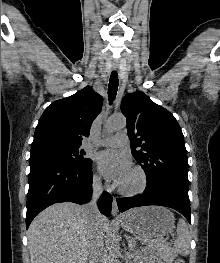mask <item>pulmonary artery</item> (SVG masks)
Returning a JSON list of instances; mask_svg holds the SVG:
<instances>
[{
	"label": "pulmonary artery",
	"instance_id": "pulmonary-artery-1",
	"mask_svg": "<svg viewBox=\"0 0 220 263\" xmlns=\"http://www.w3.org/2000/svg\"><path fill=\"white\" fill-rule=\"evenodd\" d=\"M128 143V136L121 132L114 136L106 137L99 142L101 146H124Z\"/></svg>",
	"mask_w": 220,
	"mask_h": 263
}]
</instances>
